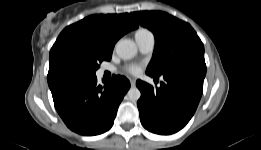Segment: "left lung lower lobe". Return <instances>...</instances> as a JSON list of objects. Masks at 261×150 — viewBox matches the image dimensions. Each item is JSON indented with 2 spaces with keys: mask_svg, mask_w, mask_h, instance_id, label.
Listing matches in <instances>:
<instances>
[{
  "mask_svg": "<svg viewBox=\"0 0 261 150\" xmlns=\"http://www.w3.org/2000/svg\"><path fill=\"white\" fill-rule=\"evenodd\" d=\"M151 77L159 76L146 72ZM206 66L183 63L163 74L164 82L154 88L136 82L141 91L137 102L142 125L150 132L169 135L182 129L194 115L203 92Z\"/></svg>",
  "mask_w": 261,
  "mask_h": 150,
  "instance_id": "1",
  "label": "left lung lower lobe"
}]
</instances>
